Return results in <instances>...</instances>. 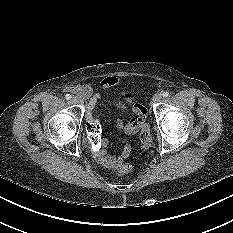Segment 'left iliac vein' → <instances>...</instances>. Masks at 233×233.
<instances>
[{
    "instance_id": "obj_1",
    "label": "left iliac vein",
    "mask_w": 233,
    "mask_h": 233,
    "mask_svg": "<svg viewBox=\"0 0 233 233\" xmlns=\"http://www.w3.org/2000/svg\"><path fill=\"white\" fill-rule=\"evenodd\" d=\"M162 100V94L157 93L152 98V103H158Z\"/></svg>"
}]
</instances>
